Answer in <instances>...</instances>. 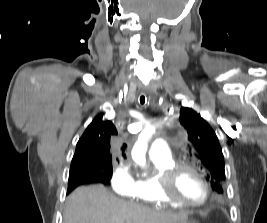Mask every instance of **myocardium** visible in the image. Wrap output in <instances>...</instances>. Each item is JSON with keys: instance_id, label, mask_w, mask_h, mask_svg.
I'll return each mask as SVG.
<instances>
[{"instance_id": "1", "label": "myocardium", "mask_w": 267, "mask_h": 223, "mask_svg": "<svg viewBox=\"0 0 267 223\" xmlns=\"http://www.w3.org/2000/svg\"><path fill=\"white\" fill-rule=\"evenodd\" d=\"M184 170L194 172L203 182L205 187V196L203 200L199 202L187 201L176 194L174 184L179 174ZM158 188L164 201L187 208H198L203 206L208 202L211 195L210 183L205 174L197 166L186 162L174 163L172 166L161 172L158 177Z\"/></svg>"}]
</instances>
